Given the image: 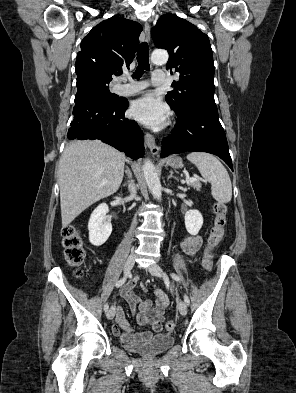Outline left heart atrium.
Instances as JSON below:
<instances>
[{
	"mask_svg": "<svg viewBox=\"0 0 296 393\" xmlns=\"http://www.w3.org/2000/svg\"><path fill=\"white\" fill-rule=\"evenodd\" d=\"M130 115L144 125L158 129L165 125L169 109L156 95L147 93L132 103Z\"/></svg>",
	"mask_w": 296,
	"mask_h": 393,
	"instance_id": "left-heart-atrium-1",
	"label": "left heart atrium"
}]
</instances>
